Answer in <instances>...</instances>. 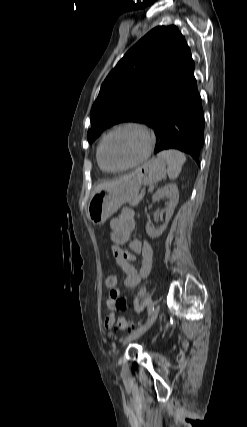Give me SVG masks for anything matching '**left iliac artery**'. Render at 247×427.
Listing matches in <instances>:
<instances>
[{"label": "left iliac artery", "instance_id": "left-iliac-artery-1", "mask_svg": "<svg viewBox=\"0 0 247 427\" xmlns=\"http://www.w3.org/2000/svg\"><path fill=\"white\" fill-rule=\"evenodd\" d=\"M153 310H154V304L152 302H150L148 304V315H151Z\"/></svg>", "mask_w": 247, "mask_h": 427}]
</instances>
